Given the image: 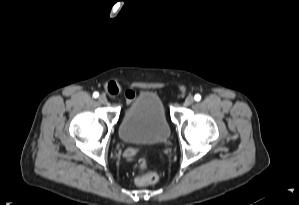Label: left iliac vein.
<instances>
[{
  "label": "left iliac vein",
  "mask_w": 299,
  "mask_h": 205,
  "mask_svg": "<svg viewBox=\"0 0 299 205\" xmlns=\"http://www.w3.org/2000/svg\"><path fill=\"white\" fill-rule=\"evenodd\" d=\"M193 102H194V97L192 95H189L186 97L184 104L186 106H189V105L193 104Z\"/></svg>",
  "instance_id": "1"
}]
</instances>
